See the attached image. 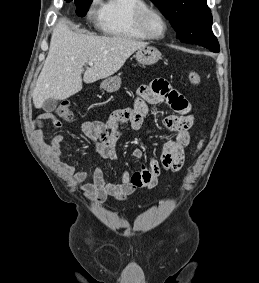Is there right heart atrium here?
Returning <instances> with one entry per match:
<instances>
[{"label": "right heart atrium", "instance_id": "1", "mask_svg": "<svg viewBox=\"0 0 259 283\" xmlns=\"http://www.w3.org/2000/svg\"><path fill=\"white\" fill-rule=\"evenodd\" d=\"M101 0H93L89 9V16L92 19H96L98 17H100V10L97 9V7L100 5Z\"/></svg>", "mask_w": 259, "mask_h": 283}]
</instances>
